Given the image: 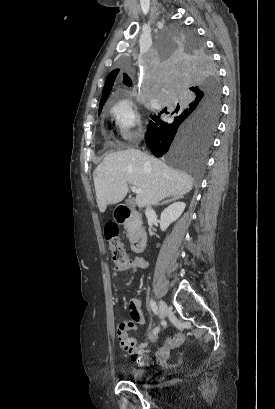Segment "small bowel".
I'll return each instance as SVG.
<instances>
[{
	"mask_svg": "<svg viewBox=\"0 0 275 409\" xmlns=\"http://www.w3.org/2000/svg\"><path fill=\"white\" fill-rule=\"evenodd\" d=\"M127 270H132L133 274L137 273V268L142 267V264H140L138 261H132L130 260L129 263L126 265ZM111 275L110 278L112 280H118L119 279V274L118 270L116 268H113L111 270ZM124 282L126 284H133L135 282V279L133 277H126L124 279ZM115 287L119 286L118 282L114 283ZM119 301V298L117 297L116 299ZM129 307L132 308L129 312V315L131 319L127 320L126 322H119L117 324V336L119 338V350L120 351H130L129 353V358L131 360H134L138 365L148 367L156 362L164 363L168 359V350L166 348H159L157 351L154 353V358H152L149 355V350H148V343H140L137 337H129L128 333L130 331V328H135L136 324L138 323L140 326H142L144 323L142 322L143 315L140 313V302L139 301H130L129 302ZM137 322V323H136ZM149 341L154 342L156 341V335L155 334H149Z\"/></svg>",
	"mask_w": 275,
	"mask_h": 409,
	"instance_id": "c3829d8e",
	"label": "small bowel"
}]
</instances>
